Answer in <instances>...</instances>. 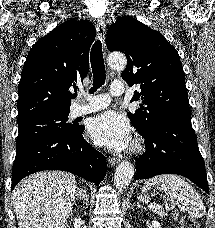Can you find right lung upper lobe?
<instances>
[{"label":"right lung upper lobe","mask_w":215,"mask_h":228,"mask_svg":"<svg viewBox=\"0 0 215 228\" xmlns=\"http://www.w3.org/2000/svg\"><path fill=\"white\" fill-rule=\"evenodd\" d=\"M94 38L92 23L71 19L36 42L21 73L17 122L70 112L69 88L88 74Z\"/></svg>","instance_id":"cb5924a9"}]
</instances>
